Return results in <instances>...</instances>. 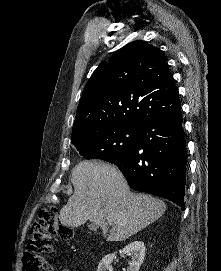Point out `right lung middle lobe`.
Returning a JSON list of instances; mask_svg holds the SVG:
<instances>
[{
    "mask_svg": "<svg viewBox=\"0 0 221 271\" xmlns=\"http://www.w3.org/2000/svg\"><path fill=\"white\" fill-rule=\"evenodd\" d=\"M140 129L138 126H113L71 142L84 158L113 163L136 144Z\"/></svg>",
    "mask_w": 221,
    "mask_h": 271,
    "instance_id": "dd1d6c3e",
    "label": "right lung middle lobe"
}]
</instances>
